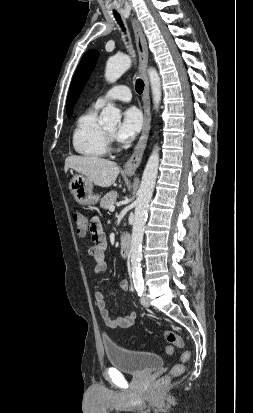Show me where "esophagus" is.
Wrapping results in <instances>:
<instances>
[{
    "label": "esophagus",
    "mask_w": 253,
    "mask_h": 413,
    "mask_svg": "<svg viewBox=\"0 0 253 413\" xmlns=\"http://www.w3.org/2000/svg\"><path fill=\"white\" fill-rule=\"evenodd\" d=\"M131 24L134 31L135 44L139 56V71L140 75L144 81V91H143V102H144V124L140 138L134 148V151L130 158L124 165L123 171L126 174H134L139 167L144 150L147 144V139L151 126V111H150V100H149V80L147 76V66H148V49L145 36L143 34L142 28L135 18H131Z\"/></svg>",
    "instance_id": "34e87169"
}]
</instances>
